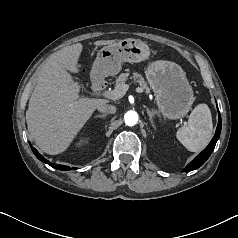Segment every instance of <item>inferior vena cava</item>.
<instances>
[{
    "instance_id": "obj_1",
    "label": "inferior vena cava",
    "mask_w": 238,
    "mask_h": 238,
    "mask_svg": "<svg viewBox=\"0 0 238 238\" xmlns=\"http://www.w3.org/2000/svg\"><path fill=\"white\" fill-rule=\"evenodd\" d=\"M97 110L101 113L114 114L116 112V107L110 104H102L98 106Z\"/></svg>"
}]
</instances>
